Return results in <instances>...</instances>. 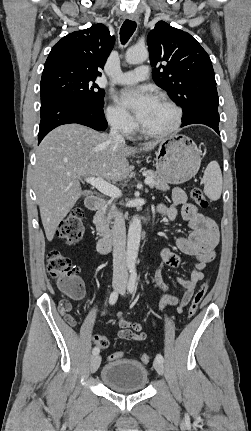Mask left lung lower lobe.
Returning <instances> with one entry per match:
<instances>
[{"mask_svg":"<svg viewBox=\"0 0 251 431\" xmlns=\"http://www.w3.org/2000/svg\"><path fill=\"white\" fill-rule=\"evenodd\" d=\"M189 124H204L207 125L211 128H213L219 135V129H218V124H219V114L218 113H210V112H204V113H199L189 119H187L186 121H182V127L189 125Z\"/></svg>","mask_w":251,"mask_h":431,"instance_id":"1","label":"left lung lower lobe"}]
</instances>
